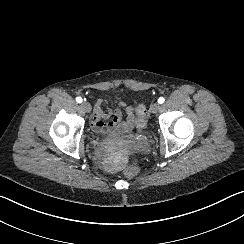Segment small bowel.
Instances as JSON below:
<instances>
[{"label": "small bowel", "instance_id": "c3829d8e", "mask_svg": "<svg viewBox=\"0 0 244 244\" xmlns=\"http://www.w3.org/2000/svg\"><path fill=\"white\" fill-rule=\"evenodd\" d=\"M107 100H98L94 106L92 123L104 133H125L132 130L136 122L134 110L124 102L118 101L119 108L107 106Z\"/></svg>", "mask_w": 244, "mask_h": 244}]
</instances>
